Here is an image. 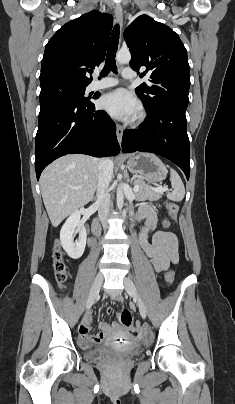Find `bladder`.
Here are the masks:
<instances>
[{"label": "bladder", "instance_id": "1", "mask_svg": "<svg viewBox=\"0 0 235 404\" xmlns=\"http://www.w3.org/2000/svg\"><path fill=\"white\" fill-rule=\"evenodd\" d=\"M133 356L129 350H120L114 345H108L95 350L86 352V358L89 361H105L109 359H123Z\"/></svg>", "mask_w": 235, "mask_h": 404}]
</instances>
